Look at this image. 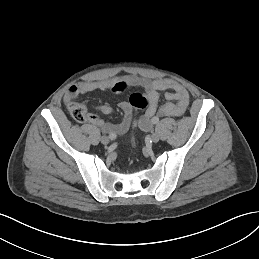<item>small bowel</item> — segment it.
Returning <instances> with one entry per match:
<instances>
[{
	"mask_svg": "<svg viewBox=\"0 0 259 259\" xmlns=\"http://www.w3.org/2000/svg\"><path fill=\"white\" fill-rule=\"evenodd\" d=\"M130 86L144 88L148 97V106L139 119V126L143 131L150 129L151 119L156 113L164 116H181L190 103L188 91L178 82L171 79L148 80L134 75L77 83L66 92L65 102L69 103L78 95L95 90L120 92ZM162 91H165L166 102L159 107V93ZM119 107L123 112L119 123L105 121L92 113H89L87 121L105 133L124 134L131 125L133 109L128 101L120 102ZM97 110L103 114L113 112V108L107 104L98 106Z\"/></svg>",
	"mask_w": 259,
	"mask_h": 259,
	"instance_id": "c3829d8e",
	"label": "small bowel"
}]
</instances>
